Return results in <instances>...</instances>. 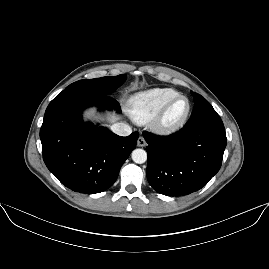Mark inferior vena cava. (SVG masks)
<instances>
[{
    "mask_svg": "<svg viewBox=\"0 0 269 269\" xmlns=\"http://www.w3.org/2000/svg\"><path fill=\"white\" fill-rule=\"evenodd\" d=\"M111 129L119 136H129L132 133L131 127L126 123H115L111 126Z\"/></svg>",
    "mask_w": 269,
    "mask_h": 269,
    "instance_id": "inferior-vena-cava-1",
    "label": "inferior vena cava"
}]
</instances>
